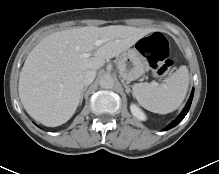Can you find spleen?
<instances>
[{"label":"spleen","instance_id":"obj_1","mask_svg":"<svg viewBox=\"0 0 219 174\" xmlns=\"http://www.w3.org/2000/svg\"><path fill=\"white\" fill-rule=\"evenodd\" d=\"M189 85L188 69L181 66L163 83H137L133 85V95L148 111L167 114L175 111L185 99Z\"/></svg>","mask_w":219,"mask_h":174}]
</instances>
